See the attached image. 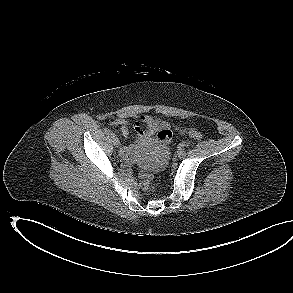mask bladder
<instances>
[{"mask_svg": "<svg viewBox=\"0 0 293 293\" xmlns=\"http://www.w3.org/2000/svg\"><path fill=\"white\" fill-rule=\"evenodd\" d=\"M144 164V167H149V165L147 163H143Z\"/></svg>", "mask_w": 293, "mask_h": 293, "instance_id": "31cf9c89", "label": "bladder"}]
</instances>
